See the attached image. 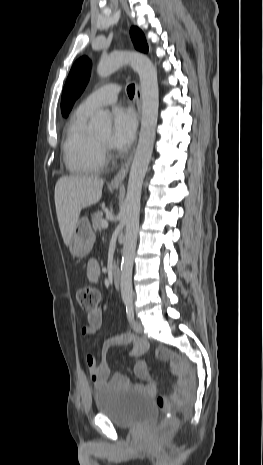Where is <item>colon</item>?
I'll list each match as a JSON object with an SVG mask.
<instances>
[{
  "label": "colon",
  "instance_id": "1",
  "mask_svg": "<svg viewBox=\"0 0 263 465\" xmlns=\"http://www.w3.org/2000/svg\"><path fill=\"white\" fill-rule=\"evenodd\" d=\"M77 300L83 311L91 313L97 309L100 301V292L93 286L83 285L77 290ZM186 389L187 378L182 377L172 396L158 398V406L166 412V416L159 427V432L162 435L171 433L177 427L178 419L176 417V409L185 401Z\"/></svg>",
  "mask_w": 263,
  "mask_h": 465
}]
</instances>
